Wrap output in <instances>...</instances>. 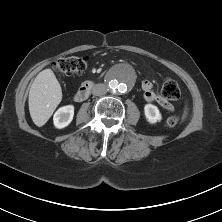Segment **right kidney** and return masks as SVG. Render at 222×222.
<instances>
[{
  "label": "right kidney",
  "mask_w": 222,
  "mask_h": 222,
  "mask_svg": "<svg viewBox=\"0 0 222 222\" xmlns=\"http://www.w3.org/2000/svg\"><path fill=\"white\" fill-rule=\"evenodd\" d=\"M73 116H74L73 105H66L59 108L53 116L54 126L58 129L65 128L71 123V121L73 120Z\"/></svg>",
  "instance_id": "1"
}]
</instances>
